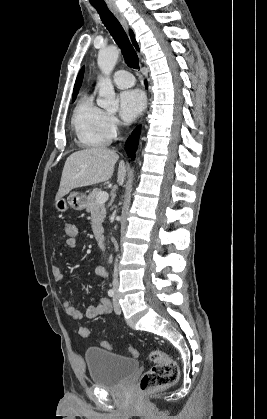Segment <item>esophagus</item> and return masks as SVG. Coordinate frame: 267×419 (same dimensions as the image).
I'll use <instances>...</instances> for the list:
<instances>
[{
  "label": "esophagus",
  "mask_w": 267,
  "mask_h": 419,
  "mask_svg": "<svg viewBox=\"0 0 267 419\" xmlns=\"http://www.w3.org/2000/svg\"><path fill=\"white\" fill-rule=\"evenodd\" d=\"M111 10L114 13V15L118 18V20L121 22V24L127 29L128 28L127 21L125 17L123 16V14L119 11V9L116 6H112Z\"/></svg>",
  "instance_id": "34e87169"
}]
</instances>
